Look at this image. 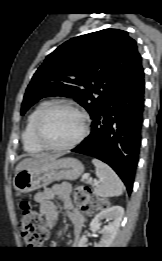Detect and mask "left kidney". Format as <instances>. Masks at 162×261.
Returning a JSON list of instances; mask_svg holds the SVG:
<instances>
[{"instance_id":"obj_1","label":"left kidney","mask_w":162,"mask_h":261,"mask_svg":"<svg viewBox=\"0 0 162 261\" xmlns=\"http://www.w3.org/2000/svg\"><path fill=\"white\" fill-rule=\"evenodd\" d=\"M124 215V209L121 206H112L99 212L91 221L90 226L97 225L102 219L111 221L108 225L104 226L100 233L102 237L98 243H95L97 248L110 247L116 237L120 222ZM78 247H87V238L83 236L78 242Z\"/></svg>"}]
</instances>
